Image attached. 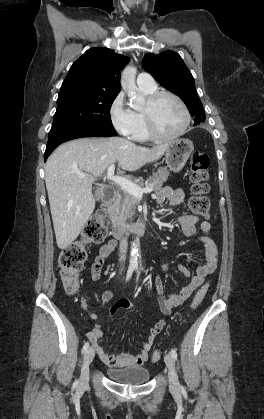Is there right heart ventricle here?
<instances>
[{"label": "right heart ventricle", "instance_id": "right-heart-ventricle-1", "mask_svg": "<svg viewBox=\"0 0 264 419\" xmlns=\"http://www.w3.org/2000/svg\"><path fill=\"white\" fill-rule=\"evenodd\" d=\"M140 91L145 95V96H149L150 94H152L153 92L156 91V87L152 88V89H145V88H140ZM134 116H135V127H134V131L132 133V138L136 141H148L151 139L148 130H147V125H146V120H145V116H144V112L143 109H135L134 111Z\"/></svg>", "mask_w": 264, "mask_h": 419}]
</instances>
